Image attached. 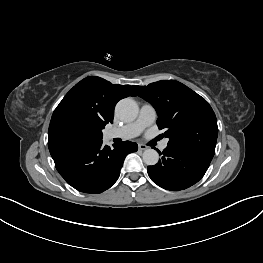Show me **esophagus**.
I'll return each mask as SVG.
<instances>
[{"label":"esophagus","mask_w":263,"mask_h":263,"mask_svg":"<svg viewBox=\"0 0 263 263\" xmlns=\"http://www.w3.org/2000/svg\"><path fill=\"white\" fill-rule=\"evenodd\" d=\"M138 149H139L140 151H144V150H147V149H148V146L145 145V144H139V145H138Z\"/></svg>","instance_id":"34e87169"}]
</instances>
